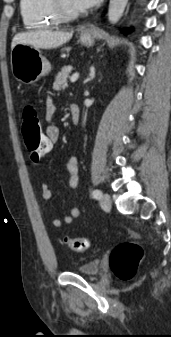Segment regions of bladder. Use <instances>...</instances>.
I'll return each instance as SVG.
<instances>
[{"label":"bladder","instance_id":"31cf9c89","mask_svg":"<svg viewBox=\"0 0 171 337\" xmlns=\"http://www.w3.org/2000/svg\"><path fill=\"white\" fill-rule=\"evenodd\" d=\"M101 271V263L98 260H93L86 262L82 265H79L76 268V272L88 276V277H94L97 276Z\"/></svg>","mask_w":171,"mask_h":337}]
</instances>
